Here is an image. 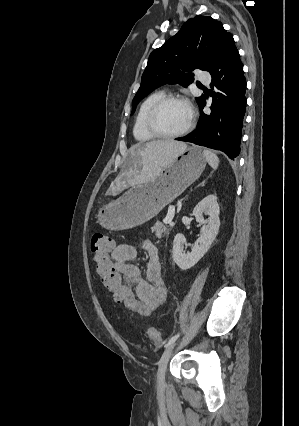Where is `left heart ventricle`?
Returning a JSON list of instances; mask_svg holds the SVG:
<instances>
[{
    "mask_svg": "<svg viewBox=\"0 0 299 426\" xmlns=\"http://www.w3.org/2000/svg\"><path fill=\"white\" fill-rule=\"evenodd\" d=\"M189 117V109L184 103L170 102L160 110L156 122L163 132L175 133L187 125Z\"/></svg>",
    "mask_w": 299,
    "mask_h": 426,
    "instance_id": "1",
    "label": "left heart ventricle"
}]
</instances>
